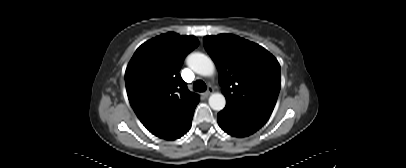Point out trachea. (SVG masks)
<instances>
[{
	"label": "trachea",
	"instance_id": "obj_1",
	"mask_svg": "<svg viewBox=\"0 0 406 168\" xmlns=\"http://www.w3.org/2000/svg\"><path fill=\"white\" fill-rule=\"evenodd\" d=\"M193 89L198 92H204L207 89V86L203 81L197 80L193 84Z\"/></svg>",
	"mask_w": 406,
	"mask_h": 168
}]
</instances>
